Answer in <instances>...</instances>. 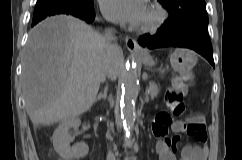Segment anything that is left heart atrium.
Segmentation results:
<instances>
[{"label": "left heart atrium", "mask_w": 242, "mask_h": 160, "mask_svg": "<svg viewBox=\"0 0 242 160\" xmlns=\"http://www.w3.org/2000/svg\"><path fill=\"white\" fill-rule=\"evenodd\" d=\"M105 17L120 24L139 25L146 8L145 0H101Z\"/></svg>", "instance_id": "left-heart-atrium-1"}]
</instances>
